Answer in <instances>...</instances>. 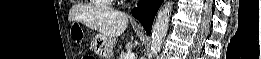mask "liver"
Listing matches in <instances>:
<instances>
[{
    "mask_svg": "<svg viewBox=\"0 0 261 59\" xmlns=\"http://www.w3.org/2000/svg\"><path fill=\"white\" fill-rule=\"evenodd\" d=\"M70 21L79 19L89 28L97 30L100 35L111 38L121 36L127 28L128 17L125 13L116 10H103L89 13L84 17L70 15Z\"/></svg>",
    "mask_w": 261,
    "mask_h": 59,
    "instance_id": "1",
    "label": "liver"
}]
</instances>
